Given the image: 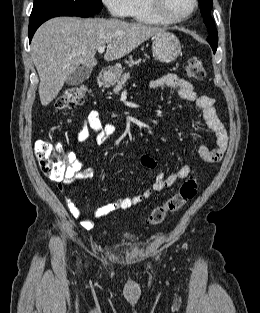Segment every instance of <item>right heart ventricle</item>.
I'll return each mask as SVG.
<instances>
[{
    "instance_id": "e07e8e85",
    "label": "right heart ventricle",
    "mask_w": 260,
    "mask_h": 313,
    "mask_svg": "<svg viewBox=\"0 0 260 313\" xmlns=\"http://www.w3.org/2000/svg\"><path fill=\"white\" fill-rule=\"evenodd\" d=\"M128 16L144 24H163L150 11L147 0H130Z\"/></svg>"
}]
</instances>
